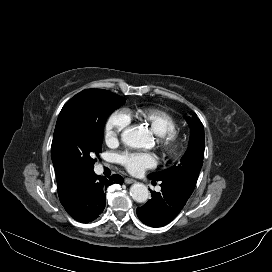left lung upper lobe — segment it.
Returning <instances> with one entry per match:
<instances>
[{"instance_id":"5c2ea615","label":"left lung upper lobe","mask_w":272,"mask_h":272,"mask_svg":"<svg viewBox=\"0 0 272 272\" xmlns=\"http://www.w3.org/2000/svg\"><path fill=\"white\" fill-rule=\"evenodd\" d=\"M191 125L189 146L178 165L166 170L149 174L156 181L171 182L192 193L203 164L204 158V127L197 116L188 117Z\"/></svg>"}]
</instances>
